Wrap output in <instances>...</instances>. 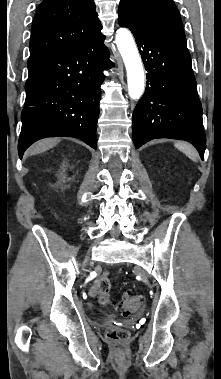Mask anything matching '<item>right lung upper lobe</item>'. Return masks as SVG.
<instances>
[{
	"instance_id": "right-lung-upper-lobe-1",
	"label": "right lung upper lobe",
	"mask_w": 221,
	"mask_h": 379,
	"mask_svg": "<svg viewBox=\"0 0 221 379\" xmlns=\"http://www.w3.org/2000/svg\"><path fill=\"white\" fill-rule=\"evenodd\" d=\"M101 28L93 0H43L33 19L27 63L76 46Z\"/></svg>"
}]
</instances>
